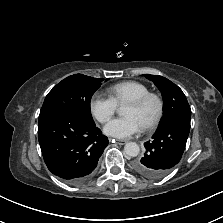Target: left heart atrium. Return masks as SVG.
Wrapping results in <instances>:
<instances>
[{
  "label": "left heart atrium",
  "mask_w": 223,
  "mask_h": 223,
  "mask_svg": "<svg viewBox=\"0 0 223 223\" xmlns=\"http://www.w3.org/2000/svg\"><path fill=\"white\" fill-rule=\"evenodd\" d=\"M141 129V125L132 116H124L111 120L104 127V132L112 137L125 139L133 136Z\"/></svg>",
  "instance_id": "left-heart-atrium-1"
}]
</instances>
